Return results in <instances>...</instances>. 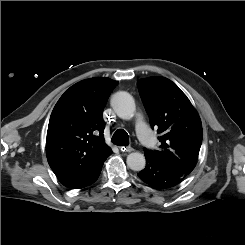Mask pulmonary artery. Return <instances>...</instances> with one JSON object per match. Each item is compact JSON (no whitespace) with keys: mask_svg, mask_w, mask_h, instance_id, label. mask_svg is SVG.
<instances>
[{"mask_svg":"<svg viewBox=\"0 0 245 245\" xmlns=\"http://www.w3.org/2000/svg\"><path fill=\"white\" fill-rule=\"evenodd\" d=\"M136 132L137 135L139 137V139L141 140V142L147 147V148H151L154 143V136L151 133L145 119L143 117H138L136 120Z\"/></svg>","mask_w":245,"mask_h":245,"instance_id":"obj_1","label":"pulmonary artery"}]
</instances>
